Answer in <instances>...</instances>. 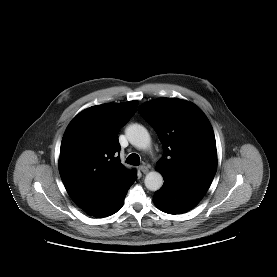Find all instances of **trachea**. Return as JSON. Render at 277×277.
Here are the masks:
<instances>
[{"label": "trachea", "instance_id": "trachea-1", "mask_svg": "<svg viewBox=\"0 0 277 277\" xmlns=\"http://www.w3.org/2000/svg\"><path fill=\"white\" fill-rule=\"evenodd\" d=\"M126 163L138 166L140 164V157L135 153L130 154L126 159Z\"/></svg>", "mask_w": 277, "mask_h": 277}]
</instances>
